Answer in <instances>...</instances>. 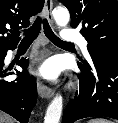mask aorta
I'll use <instances>...</instances> for the list:
<instances>
[{
    "label": "aorta",
    "instance_id": "aorta-1",
    "mask_svg": "<svg viewBox=\"0 0 118 123\" xmlns=\"http://www.w3.org/2000/svg\"><path fill=\"white\" fill-rule=\"evenodd\" d=\"M53 17L58 26L65 27L69 20L70 14L65 7H56L53 10ZM63 99L60 94H57L49 104L44 123H59L62 114Z\"/></svg>",
    "mask_w": 118,
    "mask_h": 123
}]
</instances>
